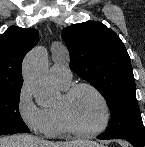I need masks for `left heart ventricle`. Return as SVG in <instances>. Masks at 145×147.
Segmentation results:
<instances>
[{
    "label": "left heart ventricle",
    "mask_w": 145,
    "mask_h": 147,
    "mask_svg": "<svg viewBox=\"0 0 145 147\" xmlns=\"http://www.w3.org/2000/svg\"><path fill=\"white\" fill-rule=\"evenodd\" d=\"M67 109L72 122L84 131L99 128L105 119L103 104L100 99L88 89L79 90L69 101Z\"/></svg>",
    "instance_id": "left-heart-ventricle-1"
}]
</instances>
